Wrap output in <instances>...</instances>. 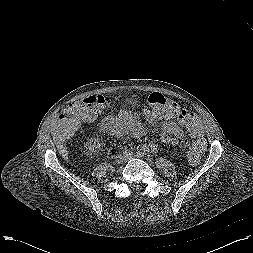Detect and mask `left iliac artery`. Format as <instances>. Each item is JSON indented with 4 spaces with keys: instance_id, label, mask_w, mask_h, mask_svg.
I'll list each match as a JSON object with an SVG mask.
<instances>
[{
    "instance_id": "1",
    "label": "left iliac artery",
    "mask_w": 253,
    "mask_h": 253,
    "mask_svg": "<svg viewBox=\"0 0 253 253\" xmlns=\"http://www.w3.org/2000/svg\"><path fill=\"white\" fill-rule=\"evenodd\" d=\"M136 154L139 157H143L144 156V152H142V151H137Z\"/></svg>"
}]
</instances>
